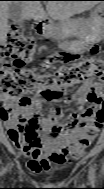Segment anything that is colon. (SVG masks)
I'll use <instances>...</instances> for the list:
<instances>
[{
	"mask_svg": "<svg viewBox=\"0 0 104 189\" xmlns=\"http://www.w3.org/2000/svg\"><path fill=\"white\" fill-rule=\"evenodd\" d=\"M90 52L92 56L78 58L64 54L65 62L62 65L54 69L45 66L36 72L25 68L34 57V42L13 31L0 47L4 61L0 75L1 94L5 100L27 105L33 95L46 100L58 99L62 87L76 83L89 81L100 86L104 82V61L94 56L96 46H92Z\"/></svg>",
	"mask_w": 104,
	"mask_h": 189,
	"instance_id": "colon-1",
	"label": "colon"
}]
</instances>
